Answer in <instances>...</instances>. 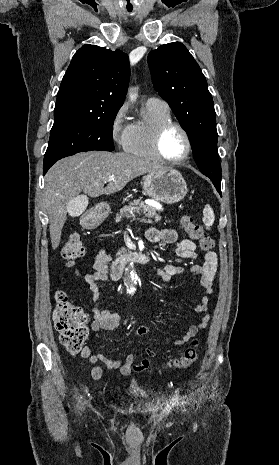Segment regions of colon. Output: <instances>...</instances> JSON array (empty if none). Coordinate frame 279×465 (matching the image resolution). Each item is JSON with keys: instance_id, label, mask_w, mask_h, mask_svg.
<instances>
[{"instance_id": "obj_1", "label": "colon", "mask_w": 279, "mask_h": 465, "mask_svg": "<svg viewBox=\"0 0 279 465\" xmlns=\"http://www.w3.org/2000/svg\"><path fill=\"white\" fill-rule=\"evenodd\" d=\"M182 226L191 238L199 242L203 250H208L213 246V240L205 234L202 226L194 221L188 215L181 219ZM85 253V244L78 234L70 235L63 248L62 258L69 267H72L78 259ZM55 309L53 312V324L55 329L60 333V342L71 354H77L81 351L88 334L86 327L87 316L82 308L72 304L67 295L60 291L55 296ZM200 354L198 342L185 351V353L170 362L174 368H188L195 363Z\"/></svg>"}]
</instances>
